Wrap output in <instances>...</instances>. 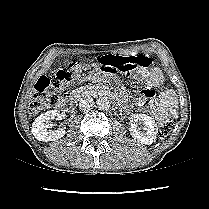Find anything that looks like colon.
<instances>
[{
  "mask_svg": "<svg viewBox=\"0 0 209 209\" xmlns=\"http://www.w3.org/2000/svg\"><path fill=\"white\" fill-rule=\"evenodd\" d=\"M150 60L145 55L122 56L106 55L90 66L89 71L102 70L105 72H130L136 67L147 66ZM77 63H71L68 70H56L50 76H41L34 85L29 103V113L34 115L39 111L53 107L59 102V93L75 85L79 78L74 74ZM175 113L169 114L158 129V136L165 138L171 129Z\"/></svg>",
  "mask_w": 209,
  "mask_h": 209,
  "instance_id": "colon-1",
  "label": "colon"
}]
</instances>
